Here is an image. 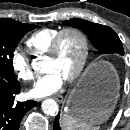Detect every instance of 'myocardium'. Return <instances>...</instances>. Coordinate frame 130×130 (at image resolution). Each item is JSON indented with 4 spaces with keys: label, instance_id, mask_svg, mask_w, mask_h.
Returning a JSON list of instances; mask_svg holds the SVG:
<instances>
[{
    "label": "myocardium",
    "instance_id": "f54148a6",
    "mask_svg": "<svg viewBox=\"0 0 130 130\" xmlns=\"http://www.w3.org/2000/svg\"><path fill=\"white\" fill-rule=\"evenodd\" d=\"M67 33L76 34L80 38L81 43H82V55H81L79 64L76 67V69L66 78V81L72 82L81 76L88 61L90 45H89V39L86 33L82 29L75 26H69V27L63 28L53 38L46 55L48 58H53L58 54L62 38Z\"/></svg>",
    "mask_w": 130,
    "mask_h": 130
}]
</instances>
